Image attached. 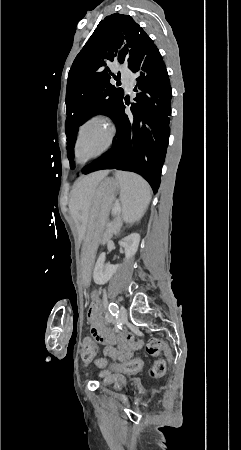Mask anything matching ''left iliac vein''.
<instances>
[{"instance_id": "left-iliac-vein-1", "label": "left iliac vein", "mask_w": 241, "mask_h": 450, "mask_svg": "<svg viewBox=\"0 0 241 450\" xmlns=\"http://www.w3.org/2000/svg\"><path fill=\"white\" fill-rule=\"evenodd\" d=\"M127 320V310L124 306H121L119 309V317H118V321L120 323H125Z\"/></svg>"}]
</instances>
